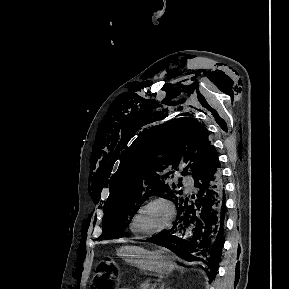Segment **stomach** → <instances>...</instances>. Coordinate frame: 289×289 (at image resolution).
I'll return each mask as SVG.
<instances>
[{"label": "stomach", "mask_w": 289, "mask_h": 289, "mask_svg": "<svg viewBox=\"0 0 289 289\" xmlns=\"http://www.w3.org/2000/svg\"><path fill=\"white\" fill-rule=\"evenodd\" d=\"M117 255L125 262L148 273L167 275L174 269L170 256L161 249L151 251L140 246L127 245L119 248Z\"/></svg>", "instance_id": "obj_1"}]
</instances>
